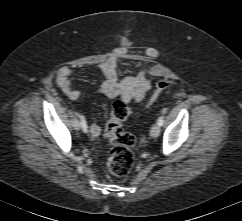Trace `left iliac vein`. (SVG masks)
Segmentation results:
<instances>
[{"label":"left iliac vein","mask_w":242,"mask_h":221,"mask_svg":"<svg viewBox=\"0 0 242 221\" xmlns=\"http://www.w3.org/2000/svg\"><path fill=\"white\" fill-rule=\"evenodd\" d=\"M160 134V126L158 124H153V126L150 129V135L152 137H158Z\"/></svg>","instance_id":"4c4485c4"}]
</instances>
